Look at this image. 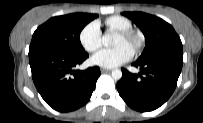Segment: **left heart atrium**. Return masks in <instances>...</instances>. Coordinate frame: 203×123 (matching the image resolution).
Instances as JSON below:
<instances>
[{"label":"left heart atrium","mask_w":203,"mask_h":123,"mask_svg":"<svg viewBox=\"0 0 203 123\" xmlns=\"http://www.w3.org/2000/svg\"><path fill=\"white\" fill-rule=\"evenodd\" d=\"M133 57V50L126 45H118L112 48H105L98 51L92 62L104 68H114Z\"/></svg>","instance_id":"39dd6f15"}]
</instances>
